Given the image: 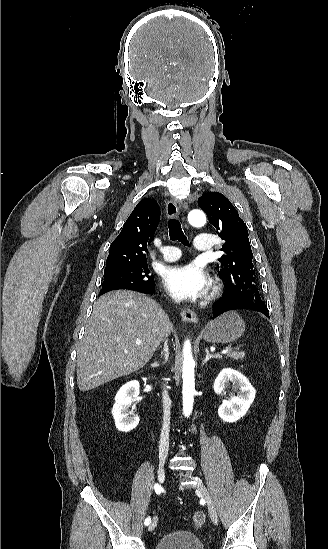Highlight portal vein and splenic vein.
<instances>
[{"instance_id": "18ae733b", "label": "portal vein and splenic vein", "mask_w": 328, "mask_h": 549, "mask_svg": "<svg viewBox=\"0 0 328 549\" xmlns=\"http://www.w3.org/2000/svg\"><path fill=\"white\" fill-rule=\"evenodd\" d=\"M135 345H141V341H136ZM221 353H230V350L226 348V350H221Z\"/></svg>"}]
</instances>
